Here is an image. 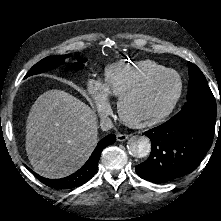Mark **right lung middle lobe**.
<instances>
[{"label":"right lung middle lobe","instance_id":"1","mask_svg":"<svg viewBox=\"0 0 221 221\" xmlns=\"http://www.w3.org/2000/svg\"><path fill=\"white\" fill-rule=\"evenodd\" d=\"M70 55H55V56H49L41 61H39L37 64H35L31 70L26 74L25 78L28 76L39 74L45 71H48L50 69L56 68L59 64L64 63V59L69 57ZM78 62L75 63L74 67L75 69H81L83 67V62H86V59H83L81 57H76Z\"/></svg>","mask_w":221,"mask_h":221}]
</instances>
